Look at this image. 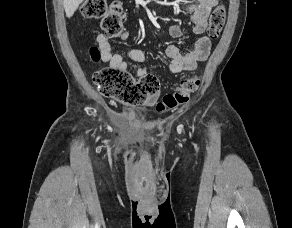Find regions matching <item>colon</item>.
Masks as SVG:
<instances>
[{
	"label": "colon",
	"mask_w": 292,
	"mask_h": 228,
	"mask_svg": "<svg viewBox=\"0 0 292 228\" xmlns=\"http://www.w3.org/2000/svg\"><path fill=\"white\" fill-rule=\"evenodd\" d=\"M81 14L88 19L100 18L101 28L108 37H123L125 35L122 6L119 2H113L108 6L106 0H85ZM225 19V6H217L209 18L208 35L212 39L219 37ZM90 55L95 61L100 59V52L96 47L90 49ZM93 82L103 96L126 105L143 104L148 98L157 95L160 90L159 80L152 74H147L136 80L127 71L112 67H104L96 71ZM198 85L196 77L184 78L174 92L168 93L162 98L157 105L158 110H170L187 103Z\"/></svg>",
	"instance_id": "colon-1"
}]
</instances>
